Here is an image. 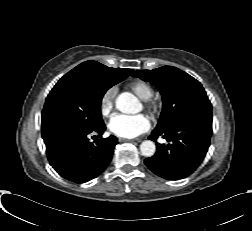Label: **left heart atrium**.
Wrapping results in <instances>:
<instances>
[{"label": "left heart atrium", "instance_id": "39dd6f15", "mask_svg": "<svg viewBox=\"0 0 252 231\" xmlns=\"http://www.w3.org/2000/svg\"><path fill=\"white\" fill-rule=\"evenodd\" d=\"M108 127L113 134L119 137L134 138L149 130L150 121L143 114H115L110 119Z\"/></svg>", "mask_w": 252, "mask_h": 231}]
</instances>
